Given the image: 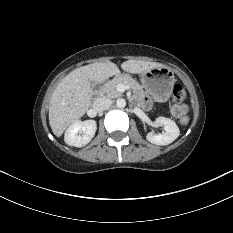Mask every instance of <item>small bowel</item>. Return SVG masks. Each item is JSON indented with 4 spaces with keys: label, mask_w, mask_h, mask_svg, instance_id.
<instances>
[{
    "label": "small bowel",
    "mask_w": 233,
    "mask_h": 233,
    "mask_svg": "<svg viewBox=\"0 0 233 233\" xmlns=\"http://www.w3.org/2000/svg\"><path fill=\"white\" fill-rule=\"evenodd\" d=\"M141 99L145 105L148 104V99L146 97L141 96ZM171 113L176 117H180L186 113V108L183 106H177L171 109Z\"/></svg>",
    "instance_id": "1"
}]
</instances>
